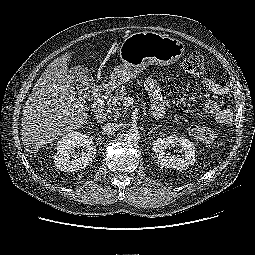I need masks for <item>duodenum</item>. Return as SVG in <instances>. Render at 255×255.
<instances>
[{
    "label": "duodenum",
    "instance_id": "duodenum-1",
    "mask_svg": "<svg viewBox=\"0 0 255 255\" xmlns=\"http://www.w3.org/2000/svg\"><path fill=\"white\" fill-rule=\"evenodd\" d=\"M111 85L109 84H102L100 85L92 100V111H93V117L98 122H104L107 119V113L104 108V102L108 95L111 92Z\"/></svg>",
    "mask_w": 255,
    "mask_h": 255
}]
</instances>
